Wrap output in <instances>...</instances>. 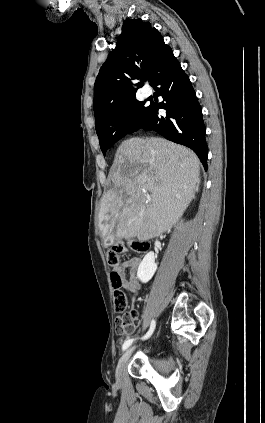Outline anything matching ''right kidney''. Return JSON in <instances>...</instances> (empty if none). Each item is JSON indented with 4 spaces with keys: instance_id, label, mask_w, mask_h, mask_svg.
<instances>
[{
    "instance_id": "ca27d5eb",
    "label": "right kidney",
    "mask_w": 265,
    "mask_h": 423,
    "mask_svg": "<svg viewBox=\"0 0 265 423\" xmlns=\"http://www.w3.org/2000/svg\"><path fill=\"white\" fill-rule=\"evenodd\" d=\"M157 270L155 256L153 252H148L140 263L137 271V277L142 283H147Z\"/></svg>"
}]
</instances>
